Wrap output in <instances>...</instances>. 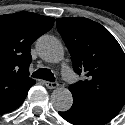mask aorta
<instances>
[{"label":"aorta","instance_id":"aorta-1","mask_svg":"<svg viewBox=\"0 0 125 125\" xmlns=\"http://www.w3.org/2000/svg\"><path fill=\"white\" fill-rule=\"evenodd\" d=\"M37 49L46 62L59 63L64 58L63 45L53 36H41L37 41ZM51 102L57 111H67L73 104V97L67 88L58 87L52 92Z\"/></svg>","mask_w":125,"mask_h":125}]
</instances>
